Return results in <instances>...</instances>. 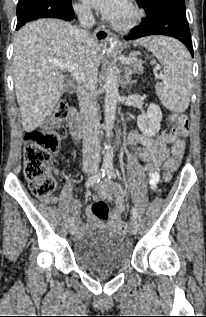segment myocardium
Segmentation results:
<instances>
[{
	"mask_svg": "<svg viewBox=\"0 0 206 317\" xmlns=\"http://www.w3.org/2000/svg\"><path fill=\"white\" fill-rule=\"evenodd\" d=\"M130 11V15L124 20L111 19V25L118 30H130L135 27L143 17L142 9L133 1L125 0L124 1Z\"/></svg>",
	"mask_w": 206,
	"mask_h": 317,
	"instance_id": "f54148a6",
	"label": "myocardium"
}]
</instances>
